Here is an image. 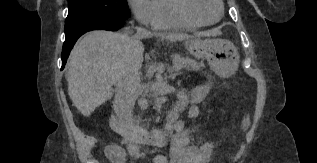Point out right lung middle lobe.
<instances>
[{
  "mask_svg": "<svg viewBox=\"0 0 317 163\" xmlns=\"http://www.w3.org/2000/svg\"><path fill=\"white\" fill-rule=\"evenodd\" d=\"M65 34L101 19L130 17L126 0H68Z\"/></svg>",
  "mask_w": 317,
  "mask_h": 163,
  "instance_id": "dd1d6c3e",
  "label": "right lung middle lobe"
}]
</instances>
